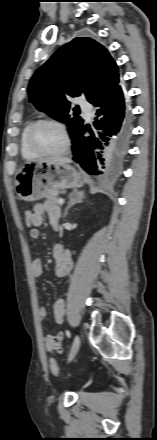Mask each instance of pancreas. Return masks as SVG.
<instances>
[{"label": "pancreas", "mask_w": 157, "mask_h": 440, "mask_svg": "<svg viewBox=\"0 0 157 440\" xmlns=\"http://www.w3.org/2000/svg\"><path fill=\"white\" fill-rule=\"evenodd\" d=\"M57 194L58 192H55L53 194L47 195L46 198L49 202L56 204V205H61L58 203V198H57Z\"/></svg>", "instance_id": "obj_1"}]
</instances>
